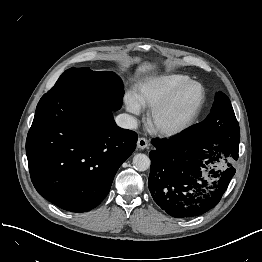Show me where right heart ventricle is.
I'll return each instance as SVG.
<instances>
[{"label":"right heart ventricle","instance_id":"1","mask_svg":"<svg viewBox=\"0 0 262 262\" xmlns=\"http://www.w3.org/2000/svg\"><path fill=\"white\" fill-rule=\"evenodd\" d=\"M190 77L183 73H167L140 83L135 90V99L141 107L151 108Z\"/></svg>","mask_w":262,"mask_h":262}]
</instances>
